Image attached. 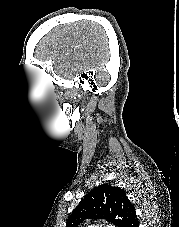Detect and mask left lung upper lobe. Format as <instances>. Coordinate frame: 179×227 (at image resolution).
<instances>
[{"mask_svg": "<svg viewBox=\"0 0 179 227\" xmlns=\"http://www.w3.org/2000/svg\"><path fill=\"white\" fill-rule=\"evenodd\" d=\"M106 219L118 227H137L135 207L120 187L109 184L91 190L74 209L66 227H78L85 219Z\"/></svg>", "mask_w": 179, "mask_h": 227, "instance_id": "5c2ea615", "label": "left lung upper lobe"}]
</instances>
